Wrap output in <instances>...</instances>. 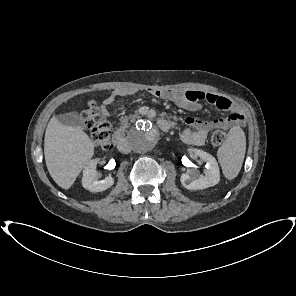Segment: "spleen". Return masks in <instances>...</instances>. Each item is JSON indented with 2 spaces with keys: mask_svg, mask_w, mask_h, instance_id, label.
Here are the masks:
<instances>
[{
  "mask_svg": "<svg viewBox=\"0 0 296 296\" xmlns=\"http://www.w3.org/2000/svg\"><path fill=\"white\" fill-rule=\"evenodd\" d=\"M246 152V137L239 126L230 129L227 139L217 151L224 176L232 180L239 174Z\"/></svg>",
  "mask_w": 296,
  "mask_h": 296,
  "instance_id": "obj_1",
  "label": "spleen"
}]
</instances>
